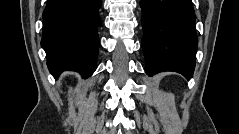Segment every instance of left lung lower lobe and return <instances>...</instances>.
Wrapping results in <instances>:
<instances>
[{"mask_svg": "<svg viewBox=\"0 0 239 134\" xmlns=\"http://www.w3.org/2000/svg\"><path fill=\"white\" fill-rule=\"evenodd\" d=\"M145 71H174L188 80L195 68L197 35L191 0H140Z\"/></svg>", "mask_w": 239, "mask_h": 134, "instance_id": "1", "label": "left lung lower lobe"}]
</instances>
